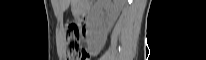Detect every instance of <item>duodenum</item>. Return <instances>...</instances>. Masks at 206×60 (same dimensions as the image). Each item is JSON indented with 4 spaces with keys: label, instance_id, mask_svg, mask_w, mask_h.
<instances>
[{
    "label": "duodenum",
    "instance_id": "1",
    "mask_svg": "<svg viewBox=\"0 0 206 60\" xmlns=\"http://www.w3.org/2000/svg\"><path fill=\"white\" fill-rule=\"evenodd\" d=\"M89 11H90L89 4L83 3L81 5L79 28H86V22L89 17Z\"/></svg>",
    "mask_w": 206,
    "mask_h": 60
}]
</instances>
